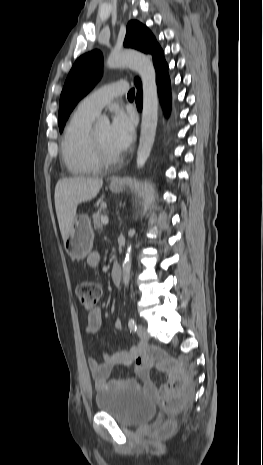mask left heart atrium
<instances>
[{
	"instance_id": "left-heart-atrium-1",
	"label": "left heart atrium",
	"mask_w": 263,
	"mask_h": 465,
	"mask_svg": "<svg viewBox=\"0 0 263 465\" xmlns=\"http://www.w3.org/2000/svg\"><path fill=\"white\" fill-rule=\"evenodd\" d=\"M134 135V120L122 109H115L109 127L111 144L118 152L124 151L132 142Z\"/></svg>"
}]
</instances>
